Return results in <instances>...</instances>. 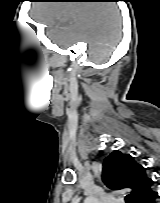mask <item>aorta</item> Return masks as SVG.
Instances as JSON below:
<instances>
[{"mask_svg":"<svg viewBox=\"0 0 160 203\" xmlns=\"http://www.w3.org/2000/svg\"><path fill=\"white\" fill-rule=\"evenodd\" d=\"M84 203H99V200L93 196L87 197Z\"/></svg>","mask_w":160,"mask_h":203,"instance_id":"762f6f07","label":"aorta"}]
</instances>
